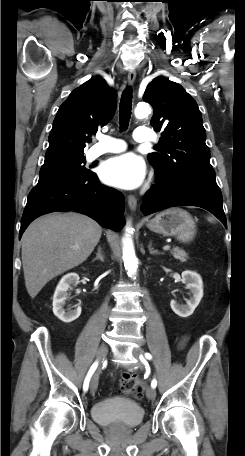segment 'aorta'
<instances>
[{"mask_svg": "<svg viewBox=\"0 0 245 456\" xmlns=\"http://www.w3.org/2000/svg\"><path fill=\"white\" fill-rule=\"evenodd\" d=\"M151 114V107L148 103L142 102L137 105L135 108V116L137 118H145ZM131 227L126 228V234L122 239L123 247V261L125 269L128 271V275L133 277L136 275L137 268H138V260L135 255V249L133 245V241L130 237Z\"/></svg>", "mask_w": 245, "mask_h": 456, "instance_id": "762f6f07", "label": "aorta"}]
</instances>
